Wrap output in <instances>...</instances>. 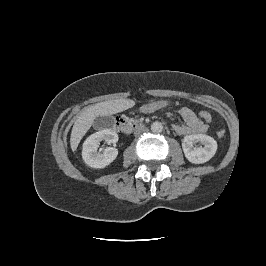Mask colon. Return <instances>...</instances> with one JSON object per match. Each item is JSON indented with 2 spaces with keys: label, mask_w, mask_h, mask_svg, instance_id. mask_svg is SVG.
<instances>
[{
  "label": "colon",
  "mask_w": 266,
  "mask_h": 266,
  "mask_svg": "<svg viewBox=\"0 0 266 266\" xmlns=\"http://www.w3.org/2000/svg\"><path fill=\"white\" fill-rule=\"evenodd\" d=\"M199 118L202 121H205V122H211L212 121L211 113L206 111V110H203V111L199 112ZM224 135H225V130H218L217 131V136L218 137H224Z\"/></svg>",
  "instance_id": "5ec220e1"
}]
</instances>
